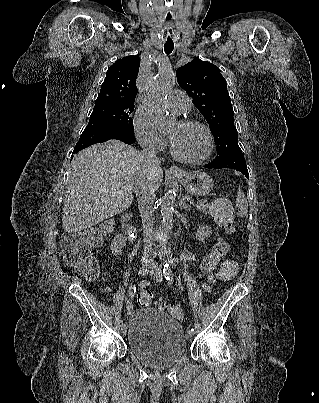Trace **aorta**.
<instances>
[{
    "label": "aorta",
    "mask_w": 319,
    "mask_h": 403,
    "mask_svg": "<svg viewBox=\"0 0 319 403\" xmlns=\"http://www.w3.org/2000/svg\"><path fill=\"white\" fill-rule=\"evenodd\" d=\"M175 83V77L171 70H160L148 83L145 90V108L151 121L158 127H163L169 121L166 108V99L170 89ZM176 194L169 190L160 201L162 225L166 229L172 227L173 206Z\"/></svg>",
    "instance_id": "1"
}]
</instances>
